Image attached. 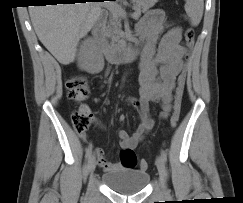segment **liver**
Segmentation results:
<instances>
[{
    "label": "liver",
    "instance_id": "liver-1",
    "mask_svg": "<svg viewBox=\"0 0 243 203\" xmlns=\"http://www.w3.org/2000/svg\"><path fill=\"white\" fill-rule=\"evenodd\" d=\"M100 2L31 6L34 30L47 50L61 63L74 61L79 40L101 14Z\"/></svg>",
    "mask_w": 243,
    "mask_h": 203
}]
</instances>
